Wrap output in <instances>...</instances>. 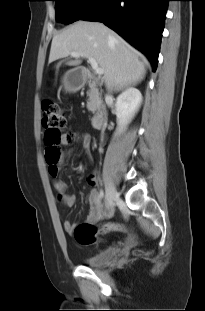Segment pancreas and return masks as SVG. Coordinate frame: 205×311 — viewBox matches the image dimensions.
I'll use <instances>...</instances> for the list:
<instances>
[{"label": "pancreas", "mask_w": 205, "mask_h": 311, "mask_svg": "<svg viewBox=\"0 0 205 311\" xmlns=\"http://www.w3.org/2000/svg\"><path fill=\"white\" fill-rule=\"evenodd\" d=\"M89 86L90 89L87 92V109L88 111L94 113L99 108V105L101 103V97L95 85L90 84Z\"/></svg>", "instance_id": "cf45deb5"}]
</instances>
